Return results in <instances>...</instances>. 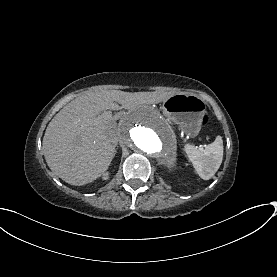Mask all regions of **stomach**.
Instances as JSON below:
<instances>
[{
    "mask_svg": "<svg viewBox=\"0 0 277 277\" xmlns=\"http://www.w3.org/2000/svg\"><path fill=\"white\" fill-rule=\"evenodd\" d=\"M162 111L185 134L194 137L201 130L205 103L197 96L180 93L166 99Z\"/></svg>",
    "mask_w": 277,
    "mask_h": 277,
    "instance_id": "stomach-1",
    "label": "stomach"
}]
</instances>
